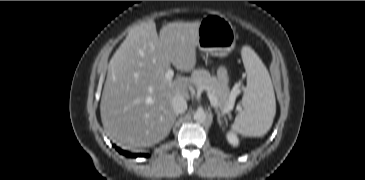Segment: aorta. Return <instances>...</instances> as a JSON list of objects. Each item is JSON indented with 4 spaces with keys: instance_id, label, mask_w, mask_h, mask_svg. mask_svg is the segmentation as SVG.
I'll list each match as a JSON object with an SVG mask.
<instances>
[{
    "instance_id": "aorta-1",
    "label": "aorta",
    "mask_w": 365,
    "mask_h": 180,
    "mask_svg": "<svg viewBox=\"0 0 365 180\" xmlns=\"http://www.w3.org/2000/svg\"><path fill=\"white\" fill-rule=\"evenodd\" d=\"M193 118H194L195 121L203 123V122L206 121L207 116H206V113L203 110H197L194 113Z\"/></svg>"
}]
</instances>
